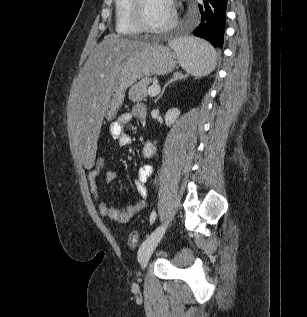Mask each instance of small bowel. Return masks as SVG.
I'll return each instance as SVG.
<instances>
[{"label":"small bowel","mask_w":307,"mask_h":317,"mask_svg":"<svg viewBox=\"0 0 307 317\" xmlns=\"http://www.w3.org/2000/svg\"><path fill=\"white\" fill-rule=\"evenodd\" d=\"M146 109L142 105H136L132 112L121 114L118 119L110 124L109 132L112 138L118 141L121 147L128 146L131 143L130 135L125 131V127L132 121L134 117L144 120L146 118ZM153 169L149 165H144L139 168L137 177L134 181L135 188L140 196V199L134 204L129 205L124 210H118L109 206L101 200L98 186L100 171L92 169L88 174V182L90 191L94 199L98 202L99 213L101 216L109 218L117 223H126L135 214L142 211L145 207V199L147 197L146 183L151 178ZM116 178V173L108 170L105 173L106 182H112Z\"/></svg>","instance_id":"1"}]
</instances>
